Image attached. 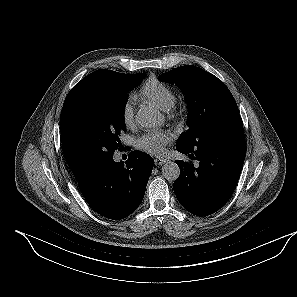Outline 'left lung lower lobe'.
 I'll return each mask as SVG.
<instances>
[{
  "instance_id": "obj_1",
  "label": "left lung lower lobe",
  "mask_w": 297,
  "mask_h": 297,
  "mask_svg": "<svg viewBox=\"0 0 297 297\" xmlns=\"http://www.w3.org/2000/svg\"><path fill=\"white\" fill-rule=\"evenodd\" d=\"M176 149L200 161L197 168L176 161L180 176L173 188L178 201L194 215L215 213L226 204L238 183L245 159L243 129L229 131L192 150Z\"/></svg>"
}]
</instances>
